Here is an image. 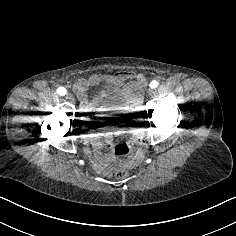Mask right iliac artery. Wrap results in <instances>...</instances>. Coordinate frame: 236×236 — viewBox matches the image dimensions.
Here are the masks:
<instances>
[{
  "label": "right iliac artery",
  "mask_w": 236,
  "mask_h": 236,
  "mask_svg": "<svg viewBox=\"0 0 236 236\" xmlns=\"http://www.w3.org/2000/svg\"><path fill=\"white\" fill-rule=\"evenodd\" d=\"M57 93L61 96H64L67 93V90L64 87H59Z\"/></svg>",
  "instance_id": "obj_1"
}]
</instances>
